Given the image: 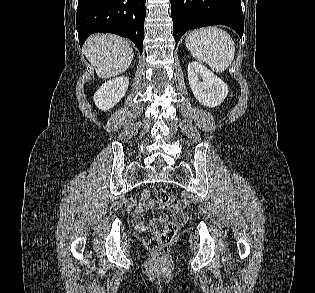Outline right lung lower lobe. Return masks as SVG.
<instances>
[{"label": "right lung lower lobe", "instance_id": "obj_1", "mask_svg": "<svg viewBox=\"0 0 315 293\" xmlns=\"http://www.w3.org/2000/svg\"><path fill=\"white\" fill-rule=\"evenodd\" d=\"M146 0H78L76 28L80 46L95 32L129 38L143 52Z\"/></svg>", "mask_w": 315, "mask_h": 293}]
</instances>
